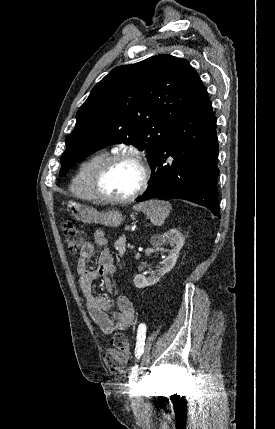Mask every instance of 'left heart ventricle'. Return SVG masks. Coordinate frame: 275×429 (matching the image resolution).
I'll return each mask as SVG.
<instances>
[{
    "label": "left heart ventricle",
    "instance_id": "1",
    "mask_svg": "<svg viewBox=\"0 0 275 429\" xmlns=\"http://www.w3.org/2000/svg\"><path fill=\"white\" fill-rule=\"evenodd\" d=\"M141 170L131 160L115 162L107 171L103 180V189L112 197H126L139 186Z\"/></svg>",
    "mask_w": 275,
    "mask_h": 429
}]
</instances>
